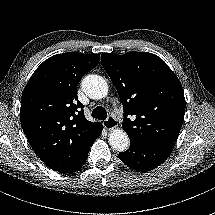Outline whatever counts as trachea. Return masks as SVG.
Returning a JSON list of instances; mask_svg holds the SVG:
<instances>
[{
  "instance_id": "trachea-1",
  "label": "trachea",
  "mask_w": 215,
  "mask_h": 215,
  "mask_svg": "<svg viewBox=\"0 0 215 215\" xmlns=\"http://www.w3.org/2000/svg\"><path fill=\"white\" fill-rule=\"evenodd\" d=\"M92 117L99 119V120L106 119V117H107L106 109L102 106L95 107L92 111Z\"/></svg>"
}]
</instances>
